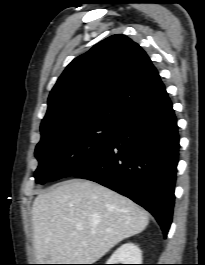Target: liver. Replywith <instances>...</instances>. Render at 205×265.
Masks as SVG:
<instances>
[{
	"instance_id": "obj_1",
	"label": "liver",
	"mask_w": 205,
	"mask_h": 265,
	"mask_svg": "<svg viewBox=\"0 0 205 265\" xmlns=\"http://www.w3.org/2000/svg\"><path fill=\"white\" fill-rule=\"evenodd\" d=\"M148 223L147 212L130 199L89 180H67L33 202L35 258L93 264Z\"/></svg>"
}]
</instances>
